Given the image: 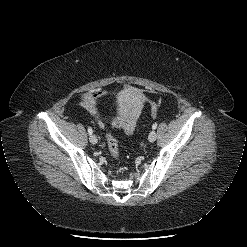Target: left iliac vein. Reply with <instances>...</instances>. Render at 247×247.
Segmentation results:
<instances>
[{"label": "left iliac vein", "mask_w": 247, "mask_h": 247, "mask_svg": "<svg viewBox=\"0 0 247 247\" xmlns=\"http://www.w3.org/2000/svg\"><path fill=\"white\" fill-rule=\"evenodd\" d=\"M157 138V134H156V131L155 130H152L150 133H149V136H148V140L149 142H154Z\"/></svg>", "instance_id": "1"}]
</instances>
